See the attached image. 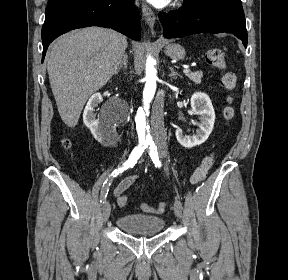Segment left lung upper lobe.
Returning <instances> with one entry per match:
<instances>
[{
    "mask_svg": "<svg viewBox=\"0 0 288 280\" xmlns=\"http://www.w3.org/2000/svg\"><path fill=\"white\" fill-rule=\"evenodd\" d=\"M199 0H185L187 3L197 2ZM218 5L231 8L232 10L244 14L242 3L240 0H210Z\"/></svg>",
    "mask_w": 288,
    "mask_h": 280,
    "instance_id": "left-lung-upper-lobe-1",
    "label": "left lung upper lobe"
}]
</instances>
